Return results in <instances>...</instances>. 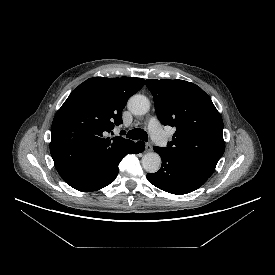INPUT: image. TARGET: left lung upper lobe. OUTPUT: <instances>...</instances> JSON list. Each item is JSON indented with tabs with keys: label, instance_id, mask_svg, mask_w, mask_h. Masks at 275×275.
<instances>
[{
	"label": "left lung upper lobe",
	"instance_id": "5c2ea615",
	"mask_svg": "<svg viewBox=\"0 0 275 275\" xmlns=\"http://www.w3.org/2000/svg\"><path fill=\"white\" fill-rule=\"evenodd\" d=\"M163 125L176 128L166 149L211 176L225 150L223 120L210 97L184 80H146Z\"/></svg>",
	"mask_w": 275,
	"mask_h": 275
}]
</instances>
